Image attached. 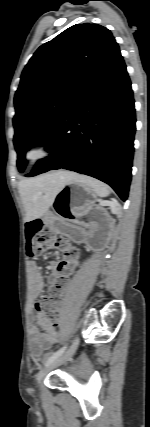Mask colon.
I'll return each mask as SVG.
<instances>
[{
    "mask_svg": "<svg viewBox=\"0 0 150 427\" xmlns=\"http://www.w3.org/2000/svg\"><path fill=\"white\" fill-rule=\"evenodd\" d=\"M27 255L31 258L39 257L45 250L58 248L62 251L57 278L51 282L49 293L39 299L36 309L44 316L52 327L60 323V309L62 292L68 285V276L73 270L79 257V250L66 239L56 235L41 220H33L26 226Z\"/></svg>",
    "mask_w": 150,
    "mask_h": 427,
    "instance_id": "obj_1",
    "label": "colon"
}]
</instances>
